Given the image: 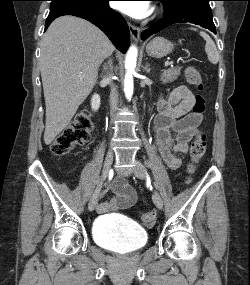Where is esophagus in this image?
Returning a JSON list of instances; mask_svg holds the SVG:
<instances>
[{
  "label": "esophagus",
  "instance_id": "esophagus-1",
  "mask_svg": "<svg viewBox=\"0 0 250 285\" xmlns=\"http://www.w3.org/2000/svg\"><path fill=\"white\" fill-rule=\"evenodd\" d=\"M129 30L132 39L137 42L140 37V28L135 25L129 24Z\"/></svg>",
  "mask_w": 250,
  "mask_h": 285
}]
</instances>
